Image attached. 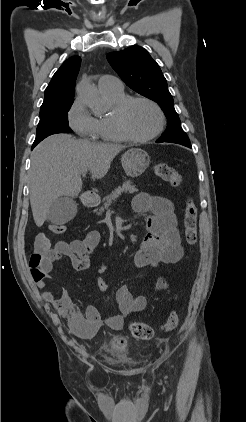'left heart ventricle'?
<instances>
[{
    "label": "left heart ventricle",
    "instance_id": "left-heart-ventricle-1",
    "mask_svg": "<svg viewBox=\"0 0 246 422\" xmlns=\"http://www.w3.org/2000/svg\"><path fill=\"white\" fill-rule=\"evenodd\" d=\"M125 121L133 134L143 137L157 129L159 116L151 105L138 101L132 103L127 109Z\"/></svg>",
    "mask_w": 246,
    "mask_h": 422
}]
</instances>
